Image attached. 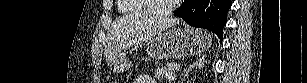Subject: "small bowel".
I'll list each match as a JSON object with an SVG mask.
<instances>
[{
  "mask_svg": "<svg viewBox=\"0 0 307 83\" xmlns=\"http://www.w3.org/2000/svg\"><path fill=\"white\" fill-rule=\"evenodd\" d=\"M137 83H156L153 78L148 75H139L136 80Z\"/></svg>",
  "mask_w": 307,
  "mask_h": 83,
  "instance_id": "c3829d8e",
  "label": "small bowel"
}]
</instances>
